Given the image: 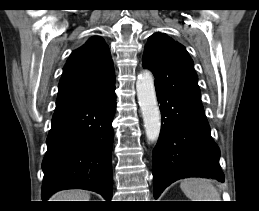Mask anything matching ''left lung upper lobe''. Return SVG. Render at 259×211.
Listing matches in <instances>:
<instances>
[{"label":"left lung upper lobe","mask_w":259,"mask_h":211,"mask_svg":"<svg viewBox=\"0 0 259 211\" xmlns=\"http://www.w3.org/2000/svg\"><path fill=\"white\" fill-rule=\"evenodd\" d=\"M143 67L155 76V88L200 97L197 74L185 47L163 33L153 34L145 46Z\"/></svg>","instance_id":"obj_1"}]
</instances>
